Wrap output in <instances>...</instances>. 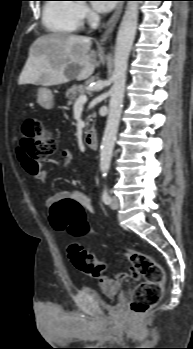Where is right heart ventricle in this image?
<instances>
[{
	"instance_id": "e07e8e85",
	"label": "right heart ventricle",
	"mask_w": 193,
	"mask_h": 349,
	"mask_svg": "<svg viewBox=\"0 0 193 349\" xmlns=\"http://www.w3.org/2000/svg\"><path fill=\"white\" fill-rule=\"evenodd\" d=\"M42 21L50 33L70 35L82 24L78 3H74L73 0H49L44 5Z\"/></svg>"
}]
</instances>
